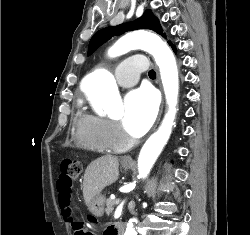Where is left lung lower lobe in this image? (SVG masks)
<instances>
[{"mask_svg": "<svg viewBox=\"0 0 250 235\" xmlns=\"http://www.w3.org/2000/svg\"><path fill=\"white\" fill-rule=\"evenodd\" d=\"M169 44L172 46L173 50H175V47L169 42Z\"/></svg>", "mask_w": 250, "mask_h": 235, "instance_id": "0a47b994", "label": "left lung lower lobe"}]
</instances>
